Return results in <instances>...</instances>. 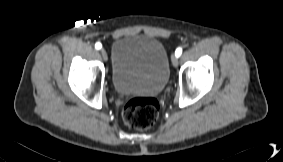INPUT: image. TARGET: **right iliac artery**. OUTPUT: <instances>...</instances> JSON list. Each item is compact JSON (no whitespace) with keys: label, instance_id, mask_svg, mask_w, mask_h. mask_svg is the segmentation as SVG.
Instances as JSON below:
<instances>
[{"label":"right iliac artery","instance_id":"obj_1","mask_svg":"<svg viewBox=\"0 0 283 162\" xmlns=\"http://www.w3.org/2000/svg\"><path fill=\"white\" fill-rule=\"evenodd\" d=\"M101 47H102L101 43L97 42V43L95 44V48H96L97 50L101 49Z\"/></svg>","mask_w":283,"mask_h":162}]
</instances>
